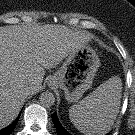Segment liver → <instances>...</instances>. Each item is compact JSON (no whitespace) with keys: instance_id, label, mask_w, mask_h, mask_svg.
I'll return each instance as SVG.
<instances>
[{"instance_id":"obj_1","label":"liver","mask_w":135,"mask_h":135,"mask_svg":"<svg viewBox=\"0 0 135 135\" xmlns=\"http://www.w3.org/2000/svg\"><path fill=\"white\" fill-rule=\"evenodd\" d=\"M87 42L84 33L63 26L0 27V129L15 120L28 95L41 89L45 69Z\"/></svg>"}]
</instances>
